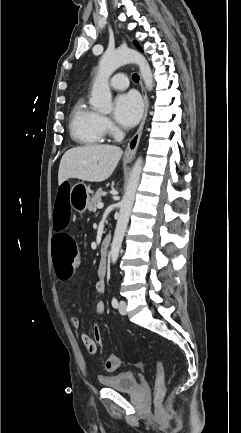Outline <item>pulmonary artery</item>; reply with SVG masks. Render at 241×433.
<instances>
[{"mask_svg":"<svg viewBox=\"0 0 241 433\" xmlns=\"http://www.w3.org/2000/svg\"><path fill=\"white\" fill-rule=\"evenodd\" d=\"M111 86L116 90H124L128 86V79L124 74H118L112 78Z\"/></svg>","mask_w":241,"mask_h":433,"instance_id":"1","label":"pulmonary artery"}]
</instances>
